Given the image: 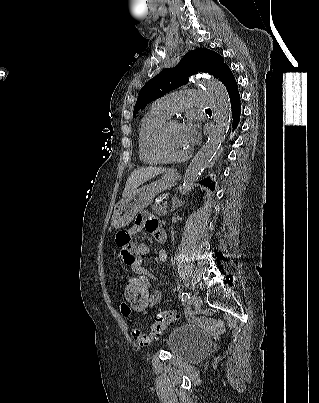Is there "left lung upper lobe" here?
<instances>
[{
    "instance_id": "obj_1",
    "label": "left lung upper lobe",
    "mask_w": 319,
    "mask_h": 403,
    "mask_svg": "<svg viewBox=\"0 0 319 403\" xmlns=\"http://www.w3.org/2000/svg\"><path fill=\"white\" fill-rule=\"evenodd\" d=\"M227 67L223 57L209 49L198 48L188 52L177 66L164 69L143 86L138 95L133 117L147 103L186 84L190 75L207 72L219 79Z\"/></svg>"
}]
</instances>
